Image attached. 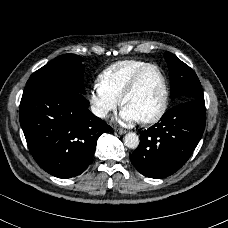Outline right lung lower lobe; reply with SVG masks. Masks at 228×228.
I'll use <instances>...</instances> for the list:
<instances>
[{
    "label": "right lung lower lobe",
    "instance_id": "1",
    "mask_svg": "<svg viewBox=\"0 0 228 228\" xmlns=\"http://www.w3.org/2000/svg\"><path fill=\"white\" fill-rule=\"evenodd\" d=\"M88 106L83 94L66 84L25 87L20 124L33 158L49 174L59 178L81 174L93 158L99 136L110 131Z\"/></svg>",
    "mask_w": 228,
    "mask_h": 228
}]
</instances>
